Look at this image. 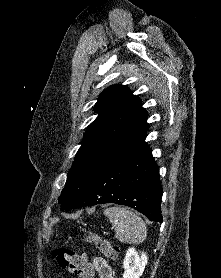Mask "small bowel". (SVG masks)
I'll return each instance as SVG.
<instances>
[{
    "label": "small bowel",
    "instance_id": "c3829d8e",
    "mask_svg": "<svg viewBox=\"0 0 221 278\" xmlns=\"http://www.w3.org/2000/svg\"><path fill=\"white\" fill-rule=\"evenodd\" d=\"M83 257L90 268L91 274L93 270H95L99 273L100 278H113L112 269L106 259L102 257H95L92 261H89L85 256Z\"/></svg>",
    "mask_w": 221,
    "mask_h": 278
}]
</instances>
